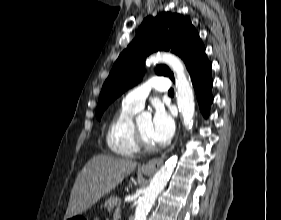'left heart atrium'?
Instances as JSON below:
<instances>
[{"label": "left heart atrium", "mask_w": 281, "mask_h": 220, "mask_svg": "<svg viewBox=\"0 0 281 220\" xmlns=\"http://www.w3.org/2000/svg\"><path fill=\"white\" fill-rule=\"evenodd\" d=\"M175 124L171 115L163 108L155 111L151 121L150 135L156 144L168 142L174 134Z\"/></svg>", "instance_id": "obj_1"}]
</instances>
